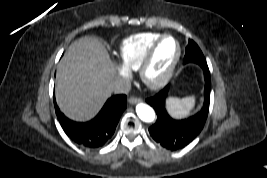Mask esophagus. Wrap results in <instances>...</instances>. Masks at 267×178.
Here are the masks:
<instances>
[{
	"mask_svg": "<svg viewBox=\"0 0 267 178\" xmlns=\"http://www.w3.org/2000/svg\"><path fill=\"white\" fill-rule=\"evenodd\" d=\"M128 102H129L130 104H136V103L141 102V99L138 98V97H130V98L128 99Z\"/></svg>",
	"mask_w": 267,
	"mask_h": 178,
	"instance_id": "1",
	"label": "esophagus"
}]
</instances>
